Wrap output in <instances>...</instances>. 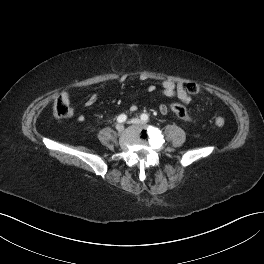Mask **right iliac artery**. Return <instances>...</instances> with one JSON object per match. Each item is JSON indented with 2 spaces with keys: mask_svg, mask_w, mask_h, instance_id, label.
Returning a JSON list of instances; mask_svg holds the SVG:
<instances>
[{
  "mask_svg": "<svg viewBox=\"0 0 264 264\" xmlns=\"http://www.w3.org/2000/svg\"><path fill=\"white\" fill-rule=\"evenodd\" d=\"M126 119H127V116L125 114H121V115L118 116L117 121L119 123H123V122L126 121Z\"/></svg>",
  "mask_w": 264,
  "mask_h": 264,
  "instance_id": "82829eb1",
  "label": "right iliac artery"
}]
</instances>
